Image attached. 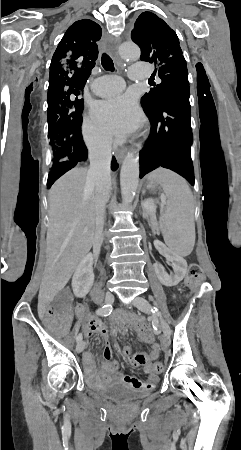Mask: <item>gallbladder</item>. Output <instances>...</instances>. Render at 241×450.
<instances>
[{
  "instance_id": "obj_1",
  "label": "gallbladder",
  "mask_w": 241,
  "mask_h": 450,
  "mask_svg": "<svg viewBox=\"0 0 241 450\" xmlns=\"http://www.w3.org/2000/svg\"><path fill=\"white\" fill-rule=\"evenodd\" d=\"M58 298L61 302L58 304V307L62 310H67L70 307L71 299L69 298L68 289L64 288L63 291L58 293Z\"/></svg>"
}]
</instances>
